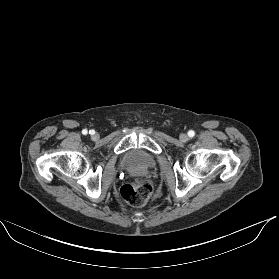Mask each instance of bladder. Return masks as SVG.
Wrapping results in <instances>:
<instances>
[{"instance_id":"bladder-1","label":"bladder","mask_w":279,"mask_h":279,"mask_svg":"<svg viewBox=\"0 0 279 279\" xmlns=\"http://www.w3.org/2000/svg\"><path fill=\"white\" fill-rule=\"evenodd\" d=\"M155 165V158L147 151L134 148L127 151L122 158V166L125 170L144 172Z\"/></svg>"}]
</instances>
